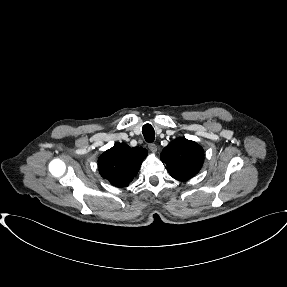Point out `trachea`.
I'll return each instance as SVG.
<instances>
[{
    "instance_id": "3493384b",
    "label": "trachea",
    "mask_w": 287,
    "mask_h": 287,
    "mask_svg": "<svg viewBox=\"0 0 287 287\" xmlns=\"http://www.w3.org/2000/svg\"><path fill=\"white\" fill-rule=\"evenodd\" d=\"M142 133L148 143H152L155 139V131L151 124H145L142 128Z\"/></svg>"
}]
</instances>
